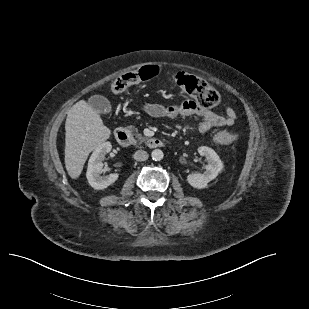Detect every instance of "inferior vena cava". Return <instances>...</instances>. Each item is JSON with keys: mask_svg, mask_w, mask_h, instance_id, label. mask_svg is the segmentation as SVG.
<instances>
[{"mask_svg": "<svg viewBox=\"0 0 309 309\" xmlns=\"http://www.w3.org/2000/svg\"><path fill=\"white\" fill-rule=\"evenodd\" d=\"M148 157H149L148 153L144 150H137L134 153V159L136 161H145L148 159Z\"/></svg>", "mask_w": 309, "mask_h": 309, "instance_id": "1", "label": "inferior vena cava"}]
</instances>
